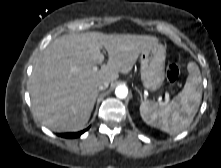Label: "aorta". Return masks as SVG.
<instances>
[{"instance_id":"obj_1","label":"aorta","mask_w":221,"mask_h":168,"mask_svg":"<svg viewBox=\"0 0 221 168\" xmlns=\"http://www.w3.org/2000/svg\"><path fill=\"white\" fill-rule=\"evenodd\" d=\"M115 95L116 97L120 98V99H124L127 97L128 95V89L126 86H118L115 89Z\"/></svg>"}]
</instances>
